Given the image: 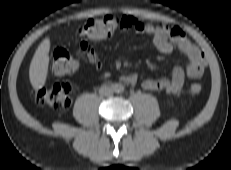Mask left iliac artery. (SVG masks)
<instances>
[{
  "label": "left iliac artery",
  "instance_id": "left-iliac-artery-1",
  "mask_svg": "<svg viewBox=\"0 0 231 170\" xmlns=\"http://www.w3.org/2000/svg\"><path fill=\"white\" fill-rule=\"evenodd\" d=\"M124 88L122 86L119 87L118 91H123Z\"/></svg>",
  "mask_w": 231,
  "mask_h": 170
}]
</instances>
